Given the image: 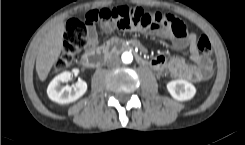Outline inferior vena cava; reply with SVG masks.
I'll return each instance as SVG.
<instances>
[{
  "mask_svg": "<svg viewBox=\"0 0 245 145\" xmlns=\"http://www.w3.org/2000/svg\"><path fill=\"white\" fill-rule=\"evenodd\" d=\"M110 66H118L120 64V59L118 57H113L108 61Z\"/></svg>",
  "mask_w": 245,
  "mask_h": 145,
  "instance_id": "inferior-vena-cava-1",
  "label": "inferior vena cava"
}]
</instances>
